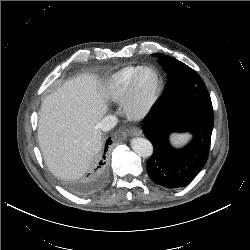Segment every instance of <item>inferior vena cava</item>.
Segmentation results:
<instances>
[{"instance_id": "1", "label": "inferior vena cava", "mask_w": 250, "mask_h": 250, "mask_svg": "<svg viewBox=\"0 0 250 250\" xmlns=\"http://www.w3.org/2000/svg\"><path fill=\"white\" fill-rule=\"evenodd\" d=\"M117 124V118L114 115H108L105 116L100 123L98 124V127L104 131H110L112 128H114Z\"/></svg>"}]
</instances>
